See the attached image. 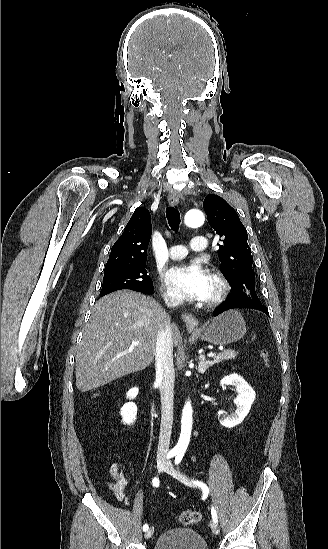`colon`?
Here are the masks:
<instances>
[{"instance_id": "obj_1", "label": "colon", "mask_w": 328, "mask_h": 549, "mask_svg": "<svg viewBox=\"0 0 328 549\" xmlns=\"http://www.w3.org/2000/svg\"><path fill=\"white\" fill-rule=\"evenodd\" d=\"M260 357L265 364L269 362V355L265 349L260 350ZM202 519L201 513L192 510H186L180 515V522L183 525H192L200 522Z\"/></svg>"}]
</instances>
